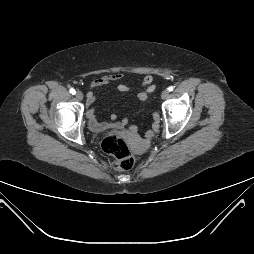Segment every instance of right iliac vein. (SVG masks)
Instances as JSON below:
<instances>
[{
  "instance_id": "right-iliac-vein-1",
  "label": "right iliac vein",
  "mask_w": 254,
  "mask_h": 254,
  "mask_svg": "<svg viewBox=\"0 0 254 254\" xmlns=\"http://www.w3.org/2000/svg\"><path fill=\"white\" fill-rule=\"evenodd\" d=\"M75 96L78 100H83V93L81 91H77Z\"/></svg>"
}]
</instances>
